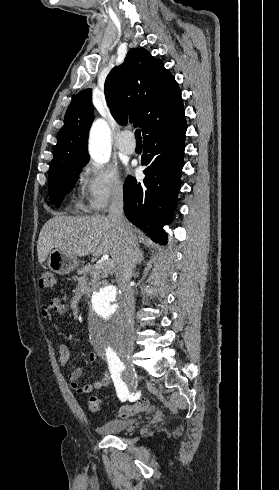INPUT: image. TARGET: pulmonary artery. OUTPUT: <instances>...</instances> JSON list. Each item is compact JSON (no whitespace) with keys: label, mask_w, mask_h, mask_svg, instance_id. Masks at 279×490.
Returning a JSON list of instances; mask_svg holds the SVG:
<instances>
[{"label":"pulmonary artery","mask_w":279,"mask_h":490,"mask_svg":"<svg viewBox=\"0 0 279 490\" xmlns=\"http://www.w3.org/2000/svg\"><path fill=\"white\" fill-rule=\"evenodd\" d=\"M131 134L132 131L130 128H120V137H115L114 139L115 146H120L119 150L127 155H131L135 152V146L137 144L136 137H130Z\"/></svg>","instance_id":"1"}]
</instances>
